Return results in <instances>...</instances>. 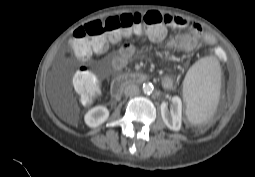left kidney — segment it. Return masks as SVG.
<instances>
[{"instance_id": "5707ae66", "label": "left kidney", "mask_w": 255, "mask_h": 177, "mask_svg": "<svg viewBox=\"0 0 255 177\" xmlns=\"http://www.w3.org/2000/svg\"><path fill=\"white\" fill-rule=\"evenodd\" d=\"M161 116L166 126L173 130L178 131L181 128L182 122V101L178 96L172 97V108L168 111L167 104H161Z\"/></svg>"}]
</instances>
